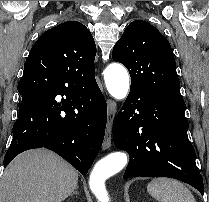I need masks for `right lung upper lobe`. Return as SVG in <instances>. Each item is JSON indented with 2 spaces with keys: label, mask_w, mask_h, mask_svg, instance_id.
I'll return each instance as SVG.
<instances>
[{
  "label": "right lung upper lobe",
  "mask_w": 209,
  "mask_h": 202,
  "mask_svg": "<svg viewBox=\"0 0 209 202\" xmlns=\"http://www.w3.org/2000/svg\"><path fill=\"white\" fill-rule=\"evenodd\" d=\"M96 45L86 26L67 21L44 32L24 64V71L47 70L73 89L96 83L94 60Z\"/></svg>",
  "instance_id": "right-lung-upper-lobe-1"
}]
</instances>
